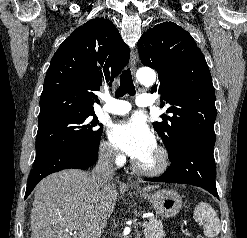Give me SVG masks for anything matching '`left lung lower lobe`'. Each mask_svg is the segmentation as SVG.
Listing matches in <instances>:
<instances>
[{
    "label": "left lung lower lobe",
    "mask_w": 247,
    "mask_h": 238,
    "mask_svg": "<svg viewBox=\"0 0 247 238\" xmlns=\"http://www.w3.org/2000/svg\"><path fill=\"white\" fill-rule=\"evenodd\" d=\"M169 158L171 165L161 176L145 180L194 185L219 198L215 183L216 165L213 150L185 142L179 144Z\"/></svg>",
    "instance_id": "left-lung-lower-lobe-1"
}]
</instances>
